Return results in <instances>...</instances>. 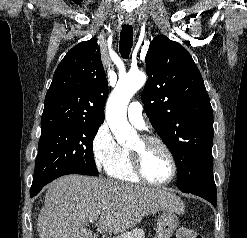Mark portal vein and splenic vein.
<instances>
[{
	"instance_id": "portal-vein-and-splenic-vein-1",
	"label": "portal vein and splenic vein",
	"mask_w": 247,
	"mask_h": 238,
	"mask_svg": "<svg viewBox=\"0 0 247 238\" xmlns=\"http://www.w3.org/2000/svg\"><path fill=\"white\" fill-rule=\"evenodd\" d=\"M89 221H90V222H93V219H90Z\"/></svg>"
}]
</instances>
